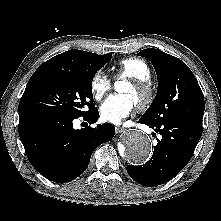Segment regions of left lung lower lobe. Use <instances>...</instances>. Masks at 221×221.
I'll return each mask as SVG.
<instances>
[{"label":"left lung lower lobe","mask_w":221,"mask_h":221,"mask_svg":"<svg viewBox=\"0 0 221 221\" xmlns=\"http://www.w3.org/2000/svg\"><path fill=\"white\" fill-rule=\"evenodd\" d=\"M162 135L154 147L149 161L141 166H127V172L133 180L144 186L161 185L176 176L189 162L202 135V128L181 120L172 119L152 126Z\"/></svg>","instance_id":"1"}]
</instances>
